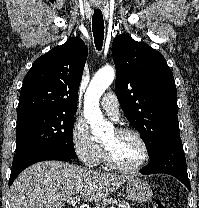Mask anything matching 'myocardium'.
Instances as JSON below:
<instances>
[{
	"label": "myocardium",
	"mask_w": 199,
	"mask_h": 208,
	"mask_svg": "<svg viewBox=\"0 0 199 208\" xmlns=\"http://www.w3.org/2000/svg\"><path fill=\"white\" fill-rule=\"evenodd\" d=\"M115 132L120 135L126 134V135L134 136L142 145L143 158L135 166H132V167L124 166V165L118 163L114 159V157H113L112 153L110 152V150L108 149V147L106 145L102 144V146H103V159H104L105 164L115 170L125 172V173H135V172L141 170L150 160L149 146H148L146 140L144 139V137L142 136V134L140 132H138L137 130L132 129V128H128V127L116 128Z\"/></svg>",
	"instance_id": "obj_1"
}]
</instances>
